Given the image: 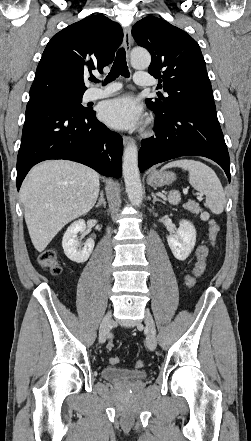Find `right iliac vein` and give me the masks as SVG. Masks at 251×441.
<instances>
[{
	"label": "right iliac vein",
	"mask_w": 251,
	"mask_h": 441,
	"mask_svg": "<svg viewBox=\"0 0 251 441\" xmlns=\"http://www.w3.org/2000/svg\"><path fill=\"white\" fill-rule=\"evenodd\" d=\"M111 325H112V313L109 311L106 313V315L104 316V318L100 324V328H99V342L100 343L105 342Z\"/></svg>",
	"instance_id": "right-iliac-vein-1"
}]
</instances>
